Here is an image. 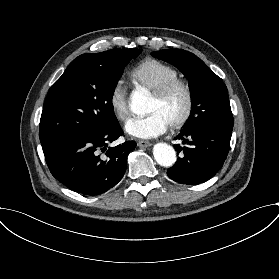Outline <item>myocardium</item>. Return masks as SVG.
<instances>
[{
    "label": "myocardium",
    "instance_id": "f54148a6",
    "mask_svg": "<svg viewBox=\"0 0 279 279\" xmlns=\"http://www.w3.org/2000/svg\"><path fill=\"white\" fill-rule=\"evenodd\" d=\"M182 89L185 94V109L183 114L170 126L173 129L182 128L191 118L194 108V94L191 84L183 78H174L162 84L157 90L153 91V96L159 100L166 98L176 89Z\"/></svg>",
    "mask_w": 279,
    "mask_h": 279
}]
</instances>
